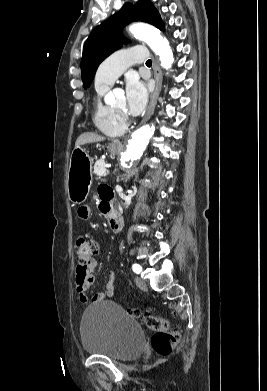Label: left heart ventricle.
Returning a JSON list of instances; mask_svg holds the SVG:
<instances>
[{
    "label": "left heart ventricle",
    "mask_w": 267,
    "mask_h": 391,
    "mask_svg": "<svg viewBox=\"0 0 267 391\" xmlns=\"http://www.w3.org/2000/svg\"><path fill=\"white\" fill-rule=\"evenodd\" d=\"M113 107L114 108H116V109H119V110H125V108H126V99H125V97H120L117 101H116V103L113 105Z\"/></svg>",
    "instance_id": "obj_1"
}]
</instances>
